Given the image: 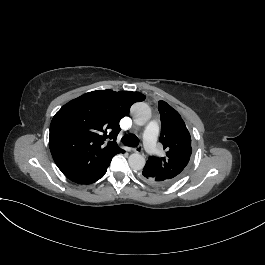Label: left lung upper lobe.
Masks as SVG:
<instances>
[{
    "label": "left lung upper lobe",
    "instance_id": "5c2ea615",
    "mask_svg": "<svg viewBox=\"0 0 265 265\" xmlns=\"http://www.w3.org/2000/svg\"><path fill=\"white\" fill-rule=\"evenodd\" d=\"M161 116L160 142L166 150L161 158L149 157L146 167L166 186L176 182L185 172L192 148L190 133L180 114L165 101H159Z\"/></svg>",
    "mask_w": 265,
    "mask_h": 265
}]
</instances>
